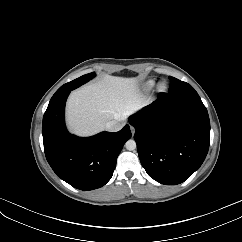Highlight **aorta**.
I'll return each mask as SVG.
<instances>
[{"instance_id": "obj_1", "label": "aorta", "mask_w": 242, "mask_h": 242, "mask_svg": "<svg viewBox=\"0 0 242 242\" xmlns=\"http://www.w3.org/2000/svg\"><path fill=\"white\" fill-rule=\"evenodd\" d=\"M125 147L129 151H133L136 149V142L130 139L125 143Z\"/></svg>"}]
</instances>
